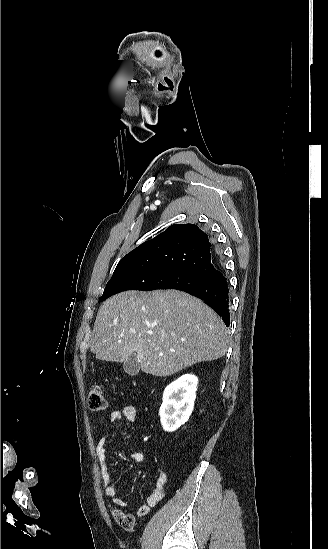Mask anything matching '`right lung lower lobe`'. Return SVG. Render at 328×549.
I'll use <instances>...</instances> for the list:
<instances>
[{
	"label": "right lung lower lobe",
	"mask_w": 328,
	"mask_h": 549,
	"mask_svg": "<svg viewBox=\"0 0 328 549\" xmlns=\"http://www.w3.org/2000/svg\"><path fill=\"white\" fill-rule=\"evenodd\" d=\"M219 257V255L217 254ZM220 262V257H219ZM220 264V263H219ZM221 267V266H220ZM202 300L210 306L224 321L226 326L230 324V305L228 285L226 278L220 272L218 277L207 279L204 282L181 289Z\"/></svg>",
	"instance_id": "1"
}]
</instances>
